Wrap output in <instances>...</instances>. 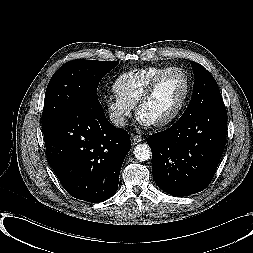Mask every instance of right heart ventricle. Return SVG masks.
Wrapping results in <instances>:
<instances>
[{
  "mask_svg": "<svg viewBox=\"0 0 253 253\" xmlns=\"http://www.w3.org/2000/svg\"><path fill=\"white\" fill-rule=\"evenodd\" d=\"M168 68L149 66L122 73L113 85L114 92L131 106H135L149 83Z\"/></svg>",
  "mask_w": 253,
  "mask_h": 253,
  "instance_id": "right-heart-ventricle-1",
  "label": "right heart ventricle"
}]
</instances>
